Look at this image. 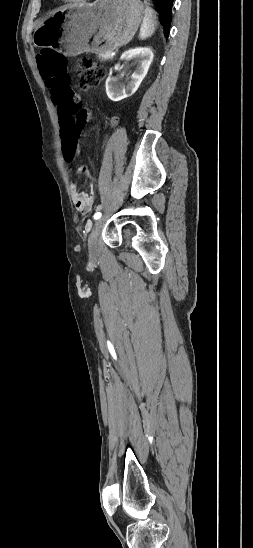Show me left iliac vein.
I'll return each mask as SVG.
<instances>
[{"instance_id": "obj_1", "label": "left iliac vein", "mask_w": 253, "mask_h": 548, "mask_svg": "<svg viewBox=\"0 0 253 548\" xmlns=\"http://www.w3.org/2000/svg\"><path fill=\"white\" fill-rule=\"evenodd\" d=\"M104 225V219H97L93 225L88 238V251L91 258H95L98 253V238Z\"/></svg>"}]
</instances>
